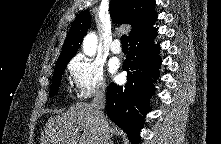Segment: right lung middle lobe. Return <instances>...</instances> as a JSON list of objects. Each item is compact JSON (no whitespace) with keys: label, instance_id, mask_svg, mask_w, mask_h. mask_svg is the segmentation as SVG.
<instances>
[{"label":"right lung middle lobe","instance_id":"right-lung-middle-lobe-1","mask_svg":"<svg viewBox=\"0 0 221 144\" xmlns=\"http://www.w3.org/2000/svg\"><path fill=\"white\" fill-rule=\"evenodd\" d=\"M67 63H62L59 65H56L55 73L53 76L52 86L49 95L54 96L59 88L60 82H61V76L63 75V72L65 71Z\"/></svg>","mask_w":221,"mask_h":144}]
</instances>
